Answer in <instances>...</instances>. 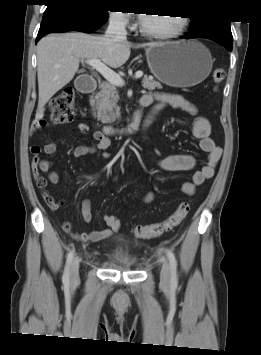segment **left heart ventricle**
<instances>
[{"label":"left heart ventricle","mask_w":261,"mask_h":355,"mask_svg":"<svg viewBox=\"0 0 261 355\" xmlns=\"http://www.w3.org/2000/svg\"><path fill=\"white\" fill-rule=\"evenodd\" d=\"M179 24L178 17L148 14L142 19V25L145 29L154 32H171L174 31Z\"/></svg>","instance_id":"obj_1"}]
</instances>
